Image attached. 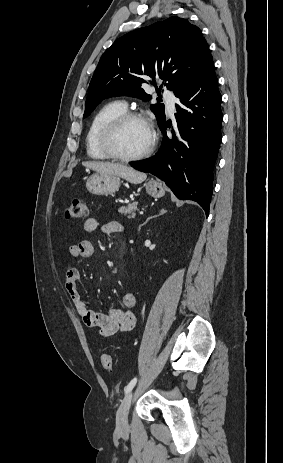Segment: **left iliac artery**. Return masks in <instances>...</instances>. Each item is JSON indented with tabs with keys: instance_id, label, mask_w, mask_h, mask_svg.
I'll use <instances>...</instances> for the list:
<instances>
[{
	"instance_id": "obj_1",
	"label": "left iliac artery",
	"mask_w": 283,
	"mask_h": 463,
	"mask_svg": "<svg viewBox=\"0 0 283 463\" xmlns=\"http://www.w3.org/2000/svg\"><path fill=\"white\" fill-rule=\"evenodd\" d=\"M136 382H137V378L135 377V378H133V379L130 381V383L125 387V389H124L125 393L130 392V391L133 389V387L135 386Z\"/></svg>"
}]
</instances>
